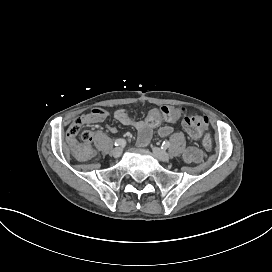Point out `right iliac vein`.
<instances>
[{
  "mask_svg": "<svg viewBox=\"0 0 272 272\" xmlns=\"http://www.w3.org/2000/svg\"><path fill=\"white\" fill-rule=\"evenodd\" d=\"M122 152H123V150H122L121 147H116V148H114V149L112 150V156H113L114 158H119V157L121 156Z\"/></svg>",
  "mask_w": 272,
  "mask_h": 272,
  "instance_id": "63e3f726",
  "label": "right iliac vein"
}]
</instances>
